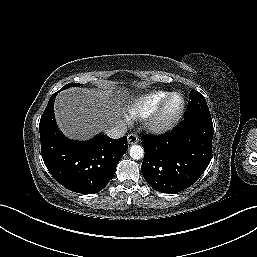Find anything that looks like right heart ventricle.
<instances>
[{"mask_svg": "<svg viewBox=\"0 0 257 257\" xmlns=\"http://www.w3.org/2000/svg\"><path fill=\"white\" fill-rule=\"evenodd\" d=\"M169 94L168 91H154L135 99L127 108V117L140 119L149 115Z\"/></svg>", "mask_w": 257, "mask_h": 257, "instance_id": "e07e8e85", "label": "right heart ventricle"}]
</instances>
